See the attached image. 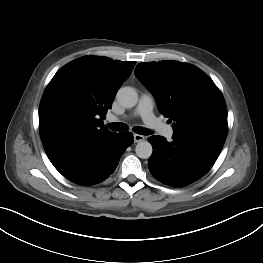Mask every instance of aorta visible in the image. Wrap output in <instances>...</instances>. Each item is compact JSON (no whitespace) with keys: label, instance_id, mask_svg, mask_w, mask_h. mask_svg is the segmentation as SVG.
I'll return each mask as SVG.
<instances>
[{"label":"aorta","instance_id":"aorta-1","mask_svg":"<svg viewBox=\"0 0 263 263\" xmlns=\"http://www.w3.org/2000/svg\"><path fill=\"white\" fill-rule=\"evenodd\" d=\"M117 101L125 108H132L137 104L138 94L131 87H122L116 95ZM136 155L142 159H148L153 152L152 145L148 141H140L135 147Z\"/></svg>","mask_w":263,"mask_h":263}]
</instances>
